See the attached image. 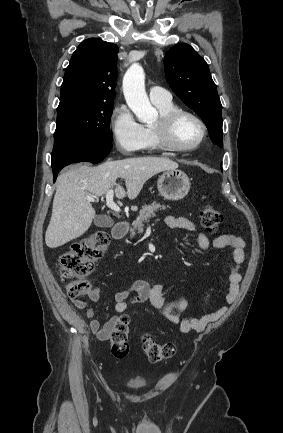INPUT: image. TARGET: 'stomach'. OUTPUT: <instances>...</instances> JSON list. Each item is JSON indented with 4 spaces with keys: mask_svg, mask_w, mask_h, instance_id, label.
I'll list each match as a JSON object with an SVG mask.
<instances>
[{
    "mask_svg": "<svg viewBox=\"0 0 283 433\" xmlns=\"http://www.w3.org/2000/svg\"><path fill=\"white\" fill-rule=\"evenodd\" d=\"M190 180L182 170H164L157 180L159 192L167 200H181L190 190Z\"/></svg>",
    "mask_w": 283,
    "mask_h": 433,
    "instance_id": "obj_1",
    "label": "stomach"
}]
</instances>
